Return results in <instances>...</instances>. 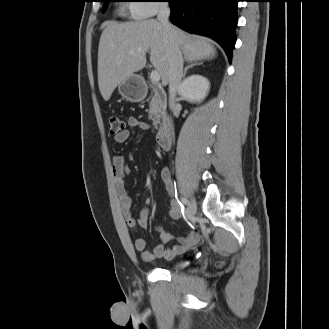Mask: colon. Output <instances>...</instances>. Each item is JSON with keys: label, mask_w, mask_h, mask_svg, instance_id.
<instances>
[{"label": "colon", "mask_w": 329, "mask_h": 329, "mask_svg": "<svg viewBox=\"0 0 329 329\" xmlns=\"http://www.w3.org/2000/svg\"><path fill=\"white\" fill-rule=\"evenodd\" d=\"M109 130L112 135H117L125 130L124 122L118 116L109 118Z\"/></svg>", "instance_id": "obj_1"}]
</instances>
